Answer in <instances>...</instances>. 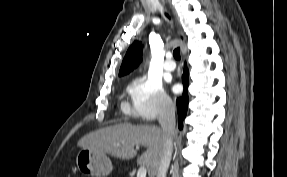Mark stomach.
Returning <instances> with one entry per match:
<instances>
[{
	"mask_svg": "<svg viewBox=\"0 0 287 177\" xmlns=\"http://www.w3.org/2000/svg\"><path fill=\"white\" fill-rule=\"evenodd\" d=\"M76 165L81 173L93 177H105L113 169L112 162L105 153L88 148L79 150Z\"/></svg>",
	"mask_w": 287,
	"mask_h": 177,
	"instance_id": "stomach-1",
	"label": "stomach"
}]
</instances>
